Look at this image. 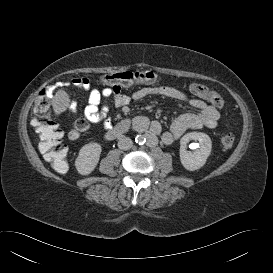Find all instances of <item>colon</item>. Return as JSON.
<instances>
[{
	"label": "colon",
	"mask_w": 273,
	"mask_h": 273,
	"mask_svg": "<svg viewBox=\"0 0 273 273\" xmlns=\"http://www.w3.org/2000/svg\"><path fill=\"white\" fill-rule=\"evenodd\" d=\"M159 81L157 73L150 70L125 71L104 75L101 82L106 86L121 88L134 84H155ZM192 91L204 97L216 108L224 106V100L217 92L207 87L194 83ZM52 93L43 90L35 102L34 117L31 121L40 138V151L44 159L59 173H65L68 169L66 162V147L63 143V134L58 124L50 117V106ZM89 128L88 122L84 118H79L70 131V137L75 138ZM222 147L229 149L234 145L232 135H223L220 139Z\"/></svg>",
	"instance_id": "colon-1"
}]
</instances>
